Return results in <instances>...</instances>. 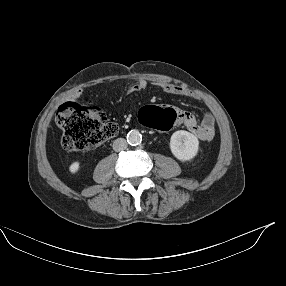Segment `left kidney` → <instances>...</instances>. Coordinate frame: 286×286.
<instances>
[{
	"label": "left kidney",
	"mask_w": 286,
	"mask_h": 286,
	"mask_svg": "<svg viewBox=\"0 0 286 286\" xmlns=\"http://www.w3.org/2000/svg\"><path fill=\"white\" fill-rule=\"evenodd\" d=\"M199 140L190 132L179 130L172 134L170 139V150L180 161L193 159L198 152Z\"/></svg>",
	"instance_id": "5707ae66"
}]
</instances>
